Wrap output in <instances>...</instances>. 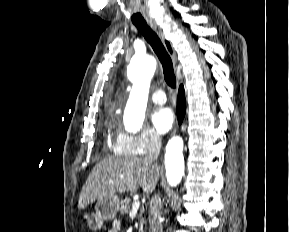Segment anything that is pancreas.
I'll list each match as a JSON object with an SVG mask.
<instances>
[{
  "mask_svg": "<svg viewBox=\"0 0 289 232\" xmlns=\"http://www.w3.org/2000/svg\"><path fill=\"white\" fill-rule=\"evenodd\" d=\"M130 206H131V200L129 198H126L125 200H123L121 202V209H120V214L121 215H125V214H128L129 213V210H130ZM144 212V210H142L141 212V216H142V213ZM140 229H139V232H143V223H144V220L141 219L140 221Z\"/></svg>",
  "mask_w": 289,
  "mask_h": 232,
  "instance_id": "pancreas-1",
  "label": "pancreas"
}]
</instances>
